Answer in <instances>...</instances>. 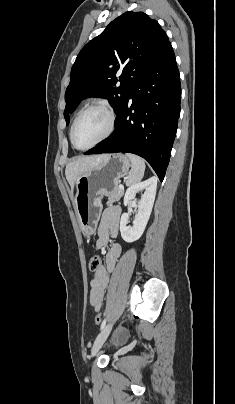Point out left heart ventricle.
Here are the masks:
<instances>
[{
	"label": "left heart ventricle",
	"mask_w": 235,
	"mask_h": 404,
	"mask_svg": "<svg viewBox=\"0 0 235 404\" xmlns=\"http://www.w3.org/2000/svg\"><path fill=\"white\" fill-rule=\"evenodd\" d=\"M109 118L105 111L93 109L81 116L74 130V141L78 147H88L107 131Z\"/></svg>",
	"instance_id": "left-heart-ventricle-1"
}]
</instances>
